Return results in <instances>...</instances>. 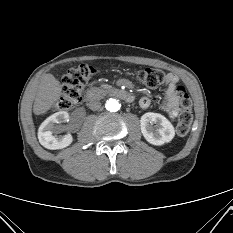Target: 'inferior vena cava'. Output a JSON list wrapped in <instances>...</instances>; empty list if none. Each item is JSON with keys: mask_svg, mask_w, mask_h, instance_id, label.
Masks as SVG:
<instances>
[{"mask_svg": "<svg viewBox=\"0 0 233 233\" xmlns=\"http://www.w3.org/2000/svg\"><path fill=\"white\" fill-rule=\"evenodd\" d=\"M88 107L93 111L99 110L101 108V102L98 100H90Z\"/></svg>", "mask_w": 233, "mask_h": 233, "instance_id": "inferior-vena-cava-1", "label": "inferior vena cava"}]
</instances>
